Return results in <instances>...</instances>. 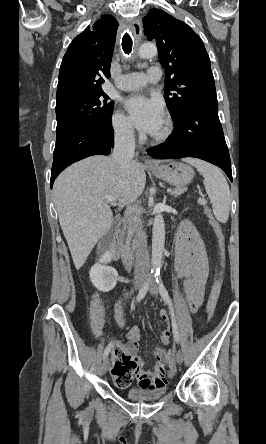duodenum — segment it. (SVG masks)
Listing matches in <instances>:
<instances>
[{
    "instance_id": "410a0bca",
    "label": "duodenum",
    "mask_w": 266,
    "mask_h": 444,
    "mask_svg": "<svg viewBox=\"0 0 266 444\" xmlns=\"http://www.w3.org/2000/svg\"><path fill=\"white\" fill-rule=\"evenodd\" d=\"M115 247L116 254L122 265L124 266L127 272L131 271V255L126 250L124 245V224L122 220H119L116 224L115 234Z\"/></svg>"
}]
</instances>
